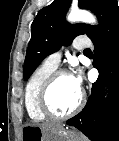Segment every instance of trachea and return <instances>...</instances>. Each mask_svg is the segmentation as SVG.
<instances>
[{
  "label": "trachea",
  "mask_w": 119,
  "mask_h": 141,
  "mask_svg": "<svg viewBox=\"0 0 119 141\" xmlns=\"http://www.w3.org/2000/svg\"><path fill=\"white\" fill-rule=\"evenodd\" d=\"M84 52L91 53L92 51L90 49H85Z\"/></svg>",
  "instance_id": "3493384b"
}]
</instances>
